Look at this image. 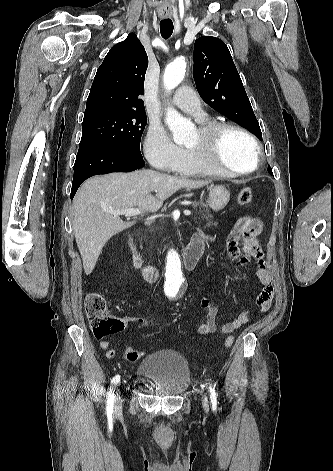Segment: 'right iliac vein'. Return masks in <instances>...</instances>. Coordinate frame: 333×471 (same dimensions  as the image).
<instances>
[{
  "instance_id": "obj_1",
  "label": "right iliac vein",
  "mask_w": 333,
  "mask_h": 471,
  "mask_svg": "<svg viewBox=\"0 0 333 471\" xmlns=\"http://www.w3.org/2000/svg\"><path fill=\"white\" fill-rule=\"evenodd\" d=\"M118 387H119V386H118ZM118 389H119V388H118ZM114 396H115V398H114V408H115V410H118V409L121 407L122 400H121V397H120L118 391H116V392L114 393Z\"/></svg>"
}]
</instances>
